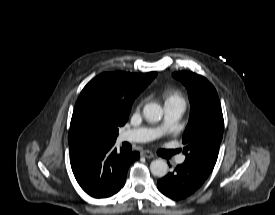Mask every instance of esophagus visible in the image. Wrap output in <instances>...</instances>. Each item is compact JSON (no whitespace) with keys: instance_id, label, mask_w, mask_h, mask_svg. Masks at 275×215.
<instances>
[{"instance_id":"34e87169","label":"esophagus","mask_w":275,"mask_h":215,"mask_svg":"<svg viewBox=\"0 0 275 215\" xmlns=\"http://www.w3.org/2000/svg\"><path fill=\"white\" fill-rule=\"evenodd\" d=\"M140 154H141V156L146 157V158H154L155 157V155L149 150H143V151H141Z\"/></svg>"}]
</instances>
